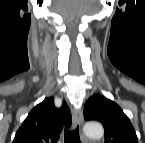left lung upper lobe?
Returning a JSON list of instances; mask_svg holds the SVG:
<instances>
[{
  "mask_svg": "<svg viewBox=\"0 0 145 143\" xmlns=\"http://www.w3.org/2000/svg\"><path fill=\"white\" fill-rule=\"evenodd\" d=\"M86 120H97L104 126L105 143H138L135 130L122 109L113 101L94 95L84 107Z\"/></svg>",
  "mask_w": 145,
  "mask_h": 143,
  "instance_id": "obj_1",
  "label": "left lung upper lobe"
}]
</instances>
